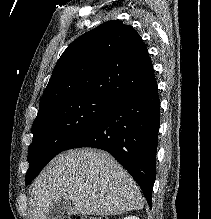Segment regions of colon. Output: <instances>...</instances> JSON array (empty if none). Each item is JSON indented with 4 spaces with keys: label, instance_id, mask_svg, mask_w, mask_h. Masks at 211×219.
Here are the masks:
<instances>
[{
    "label": "colon",
    "instance_id": "5ec220e1",
    "mask_svg": "<svg viewBox=\"0 0 211 219\" xmlns=\"http://www.w3.org/2000/svg\"><path fill=\"white\" fill-rule=\"evenodd\" d=\"M64 219H70V218H64ZM76 219H106L104 217H94V216H78Z\"/></svg>",
    "mask_w": 211,
    "mask_h": 219
}]
</instances>
